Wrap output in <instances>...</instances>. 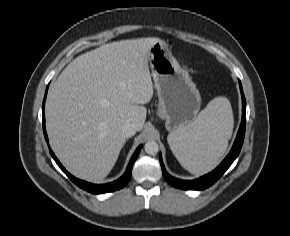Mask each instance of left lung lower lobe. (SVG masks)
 Masks as SVG:
<instances>
[{"label": "left lung lower lobe", "instance_id": "0a47b994", "mask_svg": "<svg viewBox=\"0 0 290 236\" xmlns=\"http://www.w3.org/2000/svg\"><path fill=\"white\" fill-rule=\"evenodd\" d=\"M239 85H240V90H241V95H242V122L238 130L237 137L235 139L233 147L231 151L229 152V154L226 156V158L222 161V163L215 170H213L209 174H206L205 176H202L196 180H191V181L180 180L169 175L164 168L162 158L160 156V163H161L163 176L169 184L183 190H202V189L208 188L209 186L213 185L224 174V172L230 167L233 161L237 158L241 150V147L243 145L245 128H246V115H245L246 100H245V96H244L240 81H239Z\"/></svg>", "mask_w": 290, "mask_h": 236}]
</instances>
